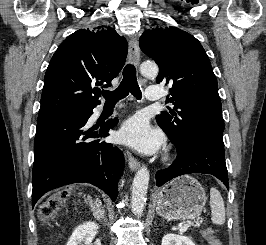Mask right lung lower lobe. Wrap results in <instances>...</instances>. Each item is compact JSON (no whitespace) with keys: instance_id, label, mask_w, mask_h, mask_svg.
<instances>
[{"instance_id":"obj_1","label":"right lung lower lobe","mask_w":266,"mask_h":245,"mask_svg":"<svg viewBox=\"0 0 266 245\" xmlns=\"http://www.w3.org/2000/svg\"><path fill=\"white\" fill-rule=\"evenodd\" d=\"M95 108V107H93ZM58 115L37 124L34 140L32 208L46 192L72 183H91L114 201L124 170L123 152L101 141L118 121L86 126L92 109Z\"/></svg>"}]
</instances>
